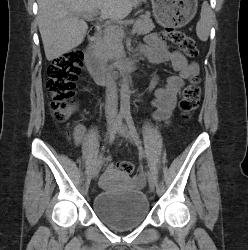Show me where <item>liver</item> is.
Masks as SVG:
<instances>
[{
  "label": "liver",
  "instance_id": "obj_1",
  "mask_svg": "<svg viewBox=\"0 0 248 250\" xmlns=\"http://www.w3.org/2000/svg\"><path fill=\"white\" fill-rule=\"evenodd\" d=\"M145 0H38V27L48 61L79 46L88 26L82 14L100 11L106 19H124Z\"/></svg>",
  "mask_w": 248,
  "mask_h": 250
}]
</instances>
